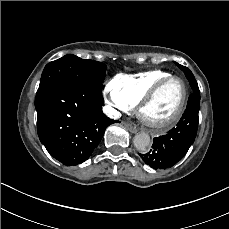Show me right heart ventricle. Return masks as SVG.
<instances>
[{"instance_id":"e07e8e85","label":"right heart ventricle","mask_w":229,"mask_h":229,"mask_svg":"<svg viewBox=\"0 0 229 229\" xmlns=\"http://www.w3.org/2000/svg\"><path fill=\"white\" fill-rule=\"evenodd\" d=\"M172 75L170 72L162 69H152L143 72L119 74L112 84L115 91L135 104L140 102V98L148 89L149 85L159 78H166Z\"/></svg>"}]
</instances>
